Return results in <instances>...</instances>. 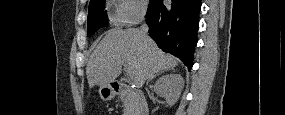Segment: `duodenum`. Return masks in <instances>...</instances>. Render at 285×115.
I'll return each instance as SVG.
<instances>
[{"label": "duodenum", "mask_w": 285, "mask_h": 115, "mask_svg": "<svg viewBox=\"0 0 285 115\" xmlns=\"http://www.w3.org/2000/svg\"><path fill=\"white\" fill-rule=\"evenodd\" d=\"M110 90L112 91L113 94H123V93H128L130 92L129 87L122 83V82H113L110 85ZM134 98V106H133V114L134 115H147V104L138 92H134L133 94Z\"/></svg>", "instance_id": "1"}]
</instances>
